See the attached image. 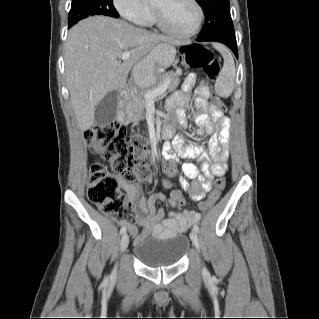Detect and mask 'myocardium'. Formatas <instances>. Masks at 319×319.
<instances>
[{
	"label": "myocardium",
	"mask_w": 319,
	"mask_h": 319,
	"mask_svg": "<svg viewBox=\"0 0 319 319\" xmlns=\"http://www.w3.org/2000/svg\"><path fill=\"white\" fill-rule=\"evenodd\" d=\"M189 1L192 3V5L195 7V9L197 11V20H196V23L191 31L186 32V33H181V32H178V31L172 29L171 27H169L167 25V23L164 19V16L162 14V11L160 9L156 8L155 6H152L153 15L155 17V20H156L158 26L166 33H168L172 36H175L177 38H181V39L191 38L194 35H196L198 33L201 25H202L203 18H204V11L197 0H189Z\"/></svg>",
	"instance_id": "myocardium-1"
}]
</instances>
